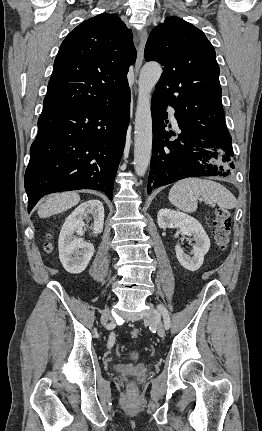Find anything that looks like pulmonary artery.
<instances>
[{
  "label": "pulmonary artery",
  "instance_id": "obj_1",
  "mask_svg": "<svg viewBox=\"0 0 262 431\" xmlns=\"http://www.w3.org/2000/svg\"><path fill=\"white\" fill-rule=\"evenodd\" d=\"M168 112H169V114H170V116L172 118V125H173V127L177 129L178 128V124H177V121L174 118V109L173 108H169Z\"/></svg>",
  "mask_w": 262,
  "mask_h": 431
}]
</instances>
